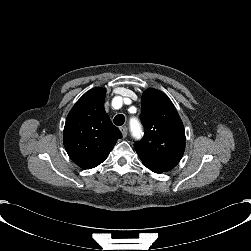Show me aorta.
<instances>
[{"label": "aorta", "mask_w": 251, "mask_h": 251, "mask_svg": "<svg viewBox=\"0 0 251 251\" xmlns=\"http://www.w3.org/2000/svg\"><path fill=\"white\" fill-rule=\"evenodd\" d=\"M130 130H131L132 135L134 137H136V138L140 137L141 126H140V123L137 119H135V118L130 119Z\"/></svg>", "instance_id": "obj_1"}]
</instances>
